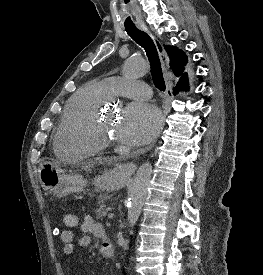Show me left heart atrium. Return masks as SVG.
I'll return each mask as SVG.
<instances>
[{
	"mask_svg": "<svg viewBox=\"0 0 263 275\" xmlns=\"http://www.w3.org/2000/svg\"><path fill=\"white\" fill-rule=\"evenodd\" d=\"M162 125L159 109L147 102L129 104L117 127L118 138L130 145H141L152 140Z\"/></svg>",
	"mask_w": 263,
	"mask_h": 275,
	"instance_id": "1",
	"label": "left heart atrium"
}]
</instances>
